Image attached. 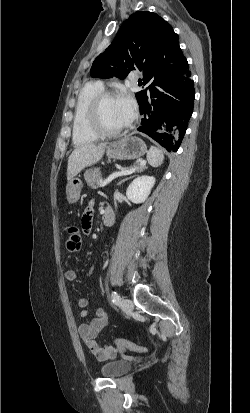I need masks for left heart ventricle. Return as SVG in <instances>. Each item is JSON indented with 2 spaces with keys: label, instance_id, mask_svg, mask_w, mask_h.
I'll return each mask as SVG.
<instances>
[{
  "label": "left heart ventricle",
  "instance_id": "left-heart-ventricle-1",
  "mask_svg": "<svg viewBox=\"0 0 250 413\" xmlns=\"http://www.w3.org/2000/svg\"><path fill=\"white\" fill-rule=\"evenodd\" d=\"M101 114L105 127L110 130L120 129L127 125L116 98H109L103 102Z\"/></svg>",
  "mask_w": 250,
  "mask_h": 413
}]
</instances>
